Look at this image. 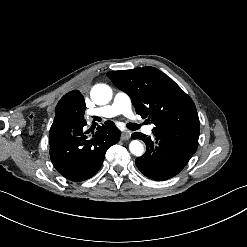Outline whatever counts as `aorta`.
Segmentation results:
<instances>
[{"label":"aorta","mask_w":247,"mask_h":247,"mask_svg":"<svg viewBox=\"0 0 247 247\" xmlns=\"http://www.w3.org/2000/svg\"><path fill=\"white\" fill-rule=\"evenodd\" d=\"M91 99L97 105H105L112 98V89L106 84H97L91 90ZM129 150L135 156H142L144 146L139 140H133L129 144Z\"/></svg>","instance_id":"obj_1"}]
</instances>
